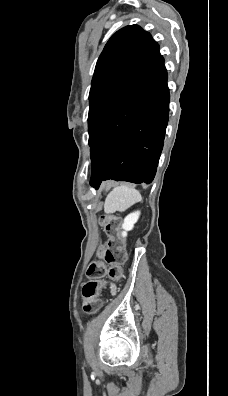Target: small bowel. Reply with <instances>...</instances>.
Returning <instances> with one entry per match:
<instances>
[{
    "mask_svg": "<svg viewBox=\"0 0 228 396\" xmlns=\"http://www.w3.org/2000/svg\"><path fill=\"white\" fill-rule=\"evenodd\" d=\"M111 291H112V293L115 292V286L114 285L111 286Z\"/></svg>",
    "mask_w": 228,
    "mask_h": 396,
    "instance_id": "small-bowel-1",
    "label": "small bowel"
}]
</instances>
